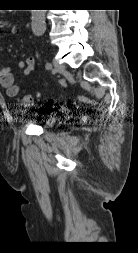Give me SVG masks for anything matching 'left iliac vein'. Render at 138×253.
Here are the masks:
<instances>
[{
    "label": "left iliac vein",
    "instance_id": "4c4485c4",
    "mask_svg": "<svg viewBox=\"0 0 138 253\" xmlns=\"http://www.w3.org/2000/svg\"><path fill=\"white\" fill-rule=\"evenodd\" d=\"M54 72H62L65 67L63 64H60L57 60H53Z\"/></svg>",
    "mask_w": 138,
    "mask_h": 253
}]
</instances>
